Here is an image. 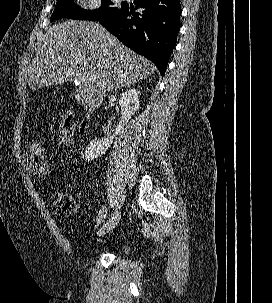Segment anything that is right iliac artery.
Segmentation results:
<instances>
[{"instance_id":"1","label":"right iliac artery","mask_w":272,"mask_h":303,"mask_svg":"<svg viewBox=\"0 0 272 303\" xmlns=\"http://www.w3.org/2000/svg\"><path fill=\"white\" fill-rule=\"evenodd\" d=\"M115 215H117V210H111V213H110V216H109V220L106 222V224H104L102 226V228H104L109 223V221H114Z\"/></svg>"}]
</instances>
